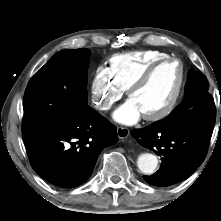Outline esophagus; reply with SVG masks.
I'll list each match as a JSON object with an SVG mask.
<instances>
[{
  "mask_svg": "<svg viewBox=\"0 0 221 221\" xmlns=\"http://www.w3.org/2000/svg\"><path fill=\"white\" fill-rule=\"evenodd\" d=\"M130 131L128 128L125 127H118L117 128V135L120 139H125L129 136Z\"/></svg>",
  "mask_w": 221,
  "mask_h": 221,
  "instance_id": "34e87169",
  "label": "esophagus"
}]
</instances>
